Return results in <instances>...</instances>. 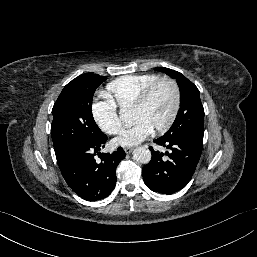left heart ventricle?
Wrapping results in <instances>:
<instances>
[{"label":"left heart ventricle","instance_id":"obj_1","mask_svg":"<svg viewBox=\"0 0 257 257\" xmlns=\"http://www.w3.org/2000/svg\"><path fill=\"white\" fill-rule=\"evenodd\" d=\"M174 94L169 84L160 85L141 109L132 110V121L146 122L152 129L162 126L170 116Z\"/></svg>","mask_w":257,"mask_h":257}]
</instances>
